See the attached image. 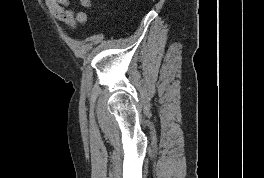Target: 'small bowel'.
Segmentation results:
<instances>
[{"label": "small bowel", "mask_w": 264, "mask_h": 178, "mask_svg": "<svg viewBox=\"0 0 264 178\" xmlns=\"http://www.w3.org/2000/svg\"><path fill=\"white\" fill-rule=\"evenodd\" d=\"M50 13L57 20L75 27L77 24H84L87 21V14L84 11H74L70 7V0H44Z\"/></svg>", "instance_id": "small-bowel-1"}]
</instances>
